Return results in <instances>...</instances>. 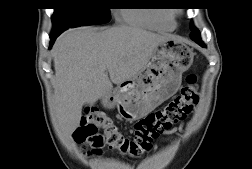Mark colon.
I'll return each mask as SVG.
<instances>
[{"label": "colon", "mask_w": 252, "mask_h": 169, "mask_svg": "<svg viewBox=\"0 0 252 169\" xmlns=\"http://www.w3.org/2000/svg\"><path fill=\"white\" fill-rule=\"evenodd\" d=\"M196 81L194 74H188L180 93L161 109L140 119L131 135H125L106 113L87 108L74 139L84 149L90 148L92 154H99L108 147L125 156L141 157L151 149L153 140L185 119L197 104Z\"/></svg>", "instance_id": "colon-1"}]
</instances>
